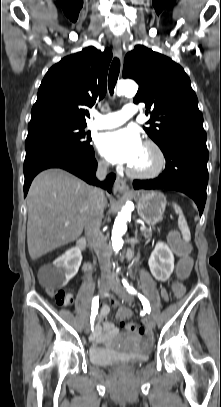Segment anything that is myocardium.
I'll list each match as a JSON object with an SVG mask.
<instances>
[{"label":"myocardium","mask_w":221,"mask_h":407,"mask_svg":"<svg viewBox=\"0 0 221 407\" xmlns=\"http://www.w3.org/2000/svg\"><path fill=\"white\" fill-rule=\"evenodd\" d=\"M144 146L149 147L152 149L157 157V164L156 166L146 172L136 171L132 167H128L127 172L130 176L138 179H153L158 177L164 171L166 167V156L162 148L152 140H146L143 143Z\"/></svg>","instance_id":"1"}]
</instances>
